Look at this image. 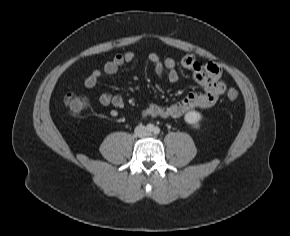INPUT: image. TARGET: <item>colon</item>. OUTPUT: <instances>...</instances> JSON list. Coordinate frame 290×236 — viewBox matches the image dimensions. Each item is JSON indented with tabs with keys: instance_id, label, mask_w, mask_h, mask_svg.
I'll return each instance as SVG.
<instances>
[{
	"instance_id": "1",
	"label": "colon",
	"mask_w": 290,
	"mask_h": 236,
	"mask_svg": "<svg viewBox=\"0 0 290 236\" xmlns=\"http://www.w3.org/2000/svg\"><path fill=\"white\" fill-rule=\"evenodd\" d=\"M226 97L234 101L238 98V91L230 88L226 92ZM64 103L73 116L81 115L89 107V100L85 96L75 93H68L65 95Z\"/></svg>"
}]
</instances>
